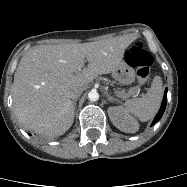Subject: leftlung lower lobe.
Masks as SVG:
<instances>
[{
  "label": "left lung lower lobe",
  "instance_id": "left-lung-lower-lobe-1",
  "mask_svg": "<svg viewBox=\"0 0 187 187\" xmlns=\"http://www.w3.org/2000/svg\"><path fill=\"white\" fill-rule=\"evenodd\" d=\"M166 103H167V89L165 90L164 97H163V102L161 104L160 110L157 113V115L155 116V118L152 122V125H154L155 123H157L161 119V117H162V115L165 111Z\"/></svg>",
  "mask_w": 187,
  "mask_h": 187
}]
</instances>
